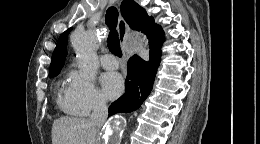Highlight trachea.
<instances>
[{
	"label": "trachea",
	"mask_w": 260,
	"mask_h": 144,
	"mask_svg": "<svg viewBox=\"0 0 260 144\" xmlns=\"http://www.w3.org/2000/svg\"><path fill=\"white\" fill-rule=\"evenodd\" d=\"M105 22L110 30L107 43L109 50L116 56L122 57L118 32L116 30L118 22V10L115 7H109L106 11Z\"/></svg>",
	"instance_id": "obj_1"
}]
</instances>
